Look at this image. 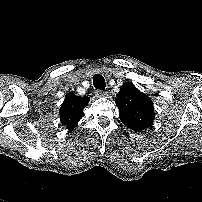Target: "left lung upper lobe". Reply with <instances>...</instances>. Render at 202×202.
<instances>
[{
    "mask_svg": "<svg viewBox=\"0 0 202 202\" xmlns=\"http://www.w3.org/2000/svg\"><path fill=\"white\" fill-rule=\"evenodd\" d=\"M121 121L134 131L148 128L154 120V106L151 99L140 92L131 82L124 84L116 95Z\"/></svg>",
    "mask_w": 202,
    "mask_h": 202,
    "instance_id": "left-lung-upper-lobe-1",
    "label": "left lung upper lobe"
}]
</instances>
